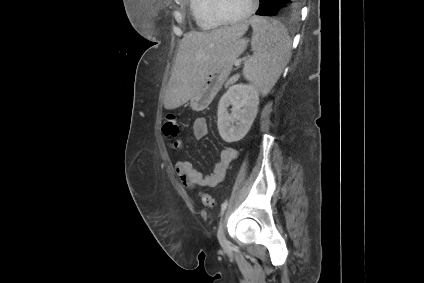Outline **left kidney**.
Masks as SVG:
<instances>
[{
  "instance_id": "left-kidney-1",
  "label": "left kidney",
  "mask_w": 424,
  "mask_h": 283,
  "mask_svg": "<svg viewBox=\"0 0 424 283\" xmlns=\"http://www.w3.org/2000/svg\"><path fill=\"white\" fill-rule=\"evenodd\" d=\"M259 90L251 84H236L230 87L218 105V130L225 142H236L244 138L256 118L259 105ZM232 105L231 113L227 108ZM236 123V126L231 123Z\"/></svg>"
}]
</instances>
